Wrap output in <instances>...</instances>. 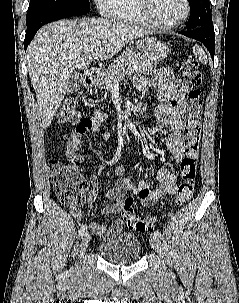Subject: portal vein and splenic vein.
Listing matches in <instances>:
<instances>
[{"instance_id":"obj_1","label":"portal vein and splenic vein","mask_w":239,"mask_h":303,"mask_svg":"<svg viewBox=\"0 0 239 303\" xmlns=\"http://www.w3.org/2000/svg\"><path fill=\"white\" fill-rule=\"evenodd\" d=\"M95 49H96V46H95V45L90 46V48H89L90 51H94Z\"/></svg>"}]
</instances>
